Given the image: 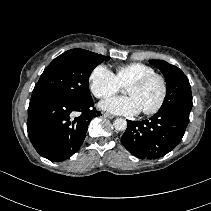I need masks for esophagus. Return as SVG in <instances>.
Instances as JSON below:
<instances>
[{
  "label": "esophagus",
  "mask_w": 211,
  "mask_h": 211,
  "mask_svg": "<svg viewBox=\"0 0 211 211\" xmlns=\"http://www.w3.org/2000/svg\"><path fill=\"white\" fill-rule=\"evenodd\" d=\"M103 115H104L105 117L109 118V119H113V118H115V116H114V115L109 114V113H104Z\"/></svg>",
  "instance_id": "esophagus-1"
}]
</instances>
